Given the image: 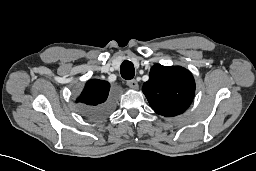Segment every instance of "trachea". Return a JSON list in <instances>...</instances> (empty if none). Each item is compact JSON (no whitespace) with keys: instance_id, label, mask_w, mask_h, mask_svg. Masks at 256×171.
<instances>
[{"instance_id":"1","label":"trachea","mask_w":256,"mask_h":171,"mask_svg":"<svg viewBox=\"0 0 256 171\" xmlns=\"http://www.w3.org/2000/svg\"><path fill=\"white\" fill-rule=\"evenodd\" d=\"M121 76L126 80H131L134 78L135 69L132 62L125 60L120 67Z\"/></svg>"}]
</instances>
